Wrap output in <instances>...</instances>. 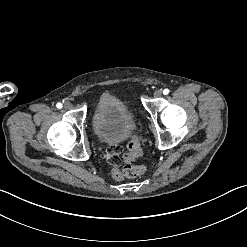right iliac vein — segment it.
<instances>
[{
	"label": "right iliac vein",
	"instance_id": "63e3f726",
	"mask_svg": "<svg viewBox=\"0 0 247 247\" xmlns=\"http://www.w3.org/2000/svg\"><path fill=\"white\" fill-rule=\"evenodd\" d=\"M65 108L68 109V110H70V109L72 108L71 102L67 101V102L65 103Z\"/></svg>",
	"mask_w": 247,
	"mask_h": 247
}]
</instances>
